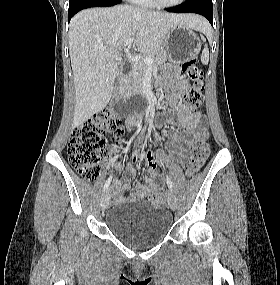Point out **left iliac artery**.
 <instances>
[{
	"label": "left iliac artery",
	"mask_w": 280,
	"mask_h": 285,
	"mask_svg": "<svg viewBox=\"0 0 280 285\" xmlns=\"http://www.w3.org/2000/svg\"><path fill=\"white\" fill-rule=\"evenodd\" d=\"M166 182H167V186H168L169 190L172 192L173 191V184H172V181L168 175H166Z\"/></svg>",
	"instance_id": "1"
}]
</instances>
